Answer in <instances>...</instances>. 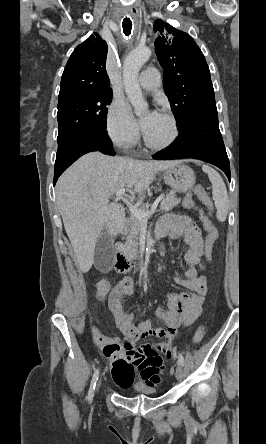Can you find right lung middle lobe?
<instances>
[{
  "instance_id": "obj_1",
  "label": "right lung middle lobe",
  "mask_w": 266,
  "mask_h": 444,
  "mask_svg": "<svg viewBox=\"0 0 266 444\" xmlns=\"http://www.w3.org/2000/svg\"><path fill=\"white\" fill-rule=\"evenodd\" d=\"M112 89L74 95L58 100V151L77 138L93 132H106L107 105Z\"/></svg>"
}]
</instances>
